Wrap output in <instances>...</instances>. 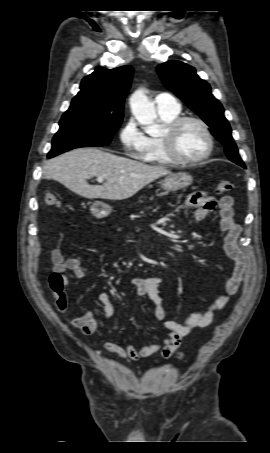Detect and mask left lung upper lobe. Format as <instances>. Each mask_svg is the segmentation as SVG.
Segmentation results:
<instances>
[{
	"mask_svg": "<svg viewBox=\"0 0 270 453\" xmlns=\"http://www.w3.org/2000/svg\"><path fill=\"white\" fill-rule=\"evenodd\" d=\"M157 72L163 84L184 101L209 126L215 138L225 146L227 157L245 168L221 103L212 95L210 85L190 65L172 60L160 64Z\"/></svg>",
	"mask_w": 270,
	"mask_h": 453,
	"instance_id": "5c2ea615",
	"label": "left lung upper lobe"
}]
</instances>
